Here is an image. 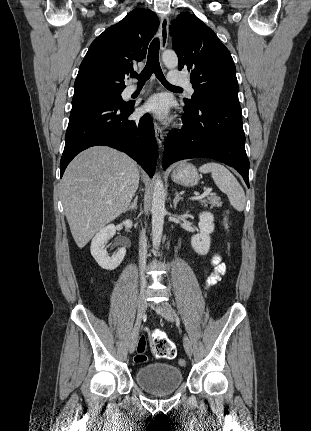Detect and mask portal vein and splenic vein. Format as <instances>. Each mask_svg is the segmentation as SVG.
Instances as JSON below:
<instances>
[{"label":"portal vein and splenic vein","instance_id":"portal-vein-and-splenic-vein-1","mask_svg":"<svg viewBox=\"0 0 311 431\" xmlns=\"http://www.w3.org/2000/svg\"><path fill=\"white\" fill-rule=\"evenodd\" d=\"M210 192H212V188H206L203 194H200V196H193L190 200H202V198H206V196H211Z\"/></svg>","mask_w":311,"mask_h":431}]
</instances>
